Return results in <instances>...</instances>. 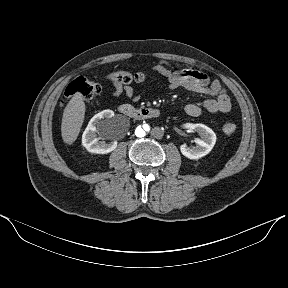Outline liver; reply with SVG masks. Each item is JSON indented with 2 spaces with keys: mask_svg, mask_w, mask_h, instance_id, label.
Listing matches in <instances>:
<instances>
[{
  "mask_svg": "<svg viewBox=\"0 0 288 288\" xmlns=\"http://www.w3.org/2000/svg\"><path fill=\"white\" fill-rule=\"evenodd\" d=\"M85 116V103L80 93H75L65 107L61 135L66 144H73L77 139Z\"/></svg>",
  "mask_w": 288,
  "mask_h": 288,
  "instance_id": "6515ba94",
  "label": "liver"
}]
</instances>
